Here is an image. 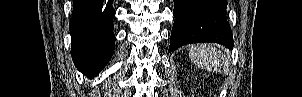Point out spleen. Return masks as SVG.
Segmentation results:
<instances>
[{
    "instance_id": "3e777b00",
    "label": "spleen",
    "mask_w": 302,
    "mask_h": 97,
    "mask_svg": "<svg viewBox=\"0 0 302 97\" xmlns=\"http://www.w3.org/2000/svg\"><path fill=\"white\" fill-rule=\"evenodd\" d=\"M189 57L195 65L207 71L226 74L229 71V62L224 54L211 44L192 45Z\"/></svg>"
}]
</instances>
